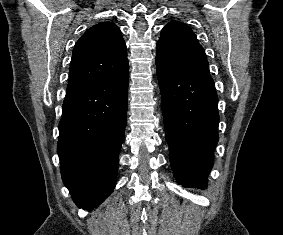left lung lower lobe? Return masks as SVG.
<instances>
[{"instance_id": "obj_1", "label": "left lung lower lobe", "mask_w": 283, "mask_h": 235, "mask_svg": "<svg viewBox=\"0 0 283 235\" xmlns=\"http://www.w3.org/2000/svg\"><path fill=\"white\" fill-rule=\"evenodd\" d=\"M156 65L174 176L184 187L204 188L218 142L213 79Z\"/></svg>"}]
</instances>
